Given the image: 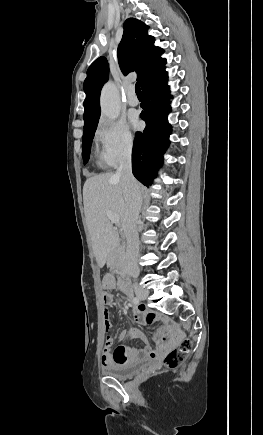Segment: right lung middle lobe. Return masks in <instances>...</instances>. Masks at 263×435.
<instances>
[{
    "label": "right lung middle lobe",
    "mask_w": 263,
    "mask_h": 435,
    "mask_svg": "<svg viewBox=\"0 0 263 435\" xmlns=\"http://www.w3.org/2000/svg\"><path fill=\"white\" fill-rule=\"evenodd\" d=\"M97 124L88 129H84L83 133V146H82V156L84 160V164L87 163L90 154V147L94 137V133L96 130Z\"/></svg>",
    "instance_id": "right-lung-middle-lobe-1"
}]
</instances>
